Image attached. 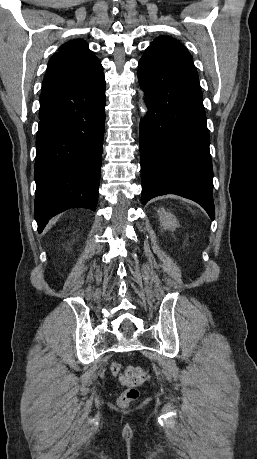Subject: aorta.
<instances>
[{"mask_svg": "<svg viewBox=\"0 0 257 459\" xmlns=\"http://www.w3.org/2000/svg\"><path fill=\"white\" fill-rule=\"evenodd\" d=\"M144 92L140 89L139 90V105L141 107V110H142V116H145L146 115V112H147V107H146V104L144 102Z\"/></svg>", "mask_w": 257, "mask_h": 459, "instance_id": "762f6f07", "label": "aorta"}]
</instances>
